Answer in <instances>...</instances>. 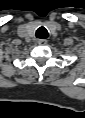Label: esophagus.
I'll return each mask as SVG.
<instances>
[{
  "instance_id": "1",
  "label": "esophagus",
  "mask_w": 85,
  "mask_h": 118,
  "mask_svg": "<svg viewBox=\"0 0 85 118\" xmlns=\"http://www.w3.org/2000/svg\"><path fill=\"white\" fill-rule=\"evenodd\" d=\"M47 42H48V41H47L46 39H40V40H38V44H39V45H42V46L46 45Z\"/></svg>"
}]
</instances>
